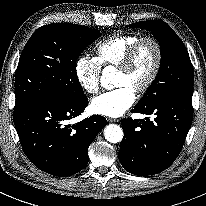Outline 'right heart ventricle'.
Returning a JSON list of instances; mask_svg holds the SVG:
<instances>
[{"instance_id":"e07e8e85","label":"right heart ventricle","mask_w":206,"mask_h":206,"mask_svg":"<svg viewBox=\"0 0 206 206\" xmlns=\"http://www.w3.org/2000/svg\"><path fill=\"white\" fill-rule=\"evenodd\" d=\"M138 34H116L100 43L96 48L97 60L102 67H118Z\"/></svg>"}]
</instances>
